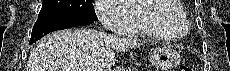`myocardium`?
<instances>
[{
  "instance_id": "f54148a6",
  "label": "myocardium",
  "mask_w": 230,
  "mask_h": 71,
  "mask_svg": "<svg viewBox=\"0 0 230 71\" xmlns=\"http://www.w3.org/2000/svg\"><path fill=\"white\" fill-rule=\"evenodd\" d=\"M179 0H151L146 4L148 18L158 30L170 33L174 38H182L189 31L185 14L175 13L170 6Z\"/></svg>"
}]
</instances>
